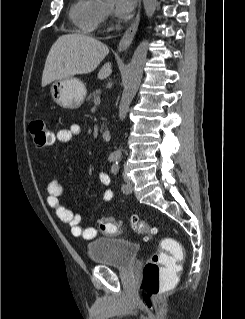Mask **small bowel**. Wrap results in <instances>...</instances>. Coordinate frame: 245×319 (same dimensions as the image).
Returning <instances> with one entry per match:
<instances>
[{
  "instance_id": "small-bowel-1",
  "label": "small bowel",
  "mask_w": 245,
  "mask_h": 319,
  "mask_svg": "<svg viewBox=\"0 0 245 319\" xmlns=\"http://www.w3.org/2000/svg\"><path fill=\"white\" fill-rule=\"evenodd\" d=\"M81 127L78 124H72L68 128L60 129L57 132V141L60 143H68L74 137L81 134ZM100 184L105 187L102 193V203H108L114 199V192L109 189L110 178L105 172L98 175ZM64 192V185L59 180H51L47 188V203L55 211L58 218L67 223L74 236L91 240L96 237L97 230L91 225L81 226V216L75 214L61 203V196Z\"/></svg>"
}]
</instances>
